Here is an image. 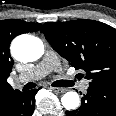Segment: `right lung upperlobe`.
Segmentation results:
<instances>
[{"mask_svg":"<svg viewBox=\"0 0 116 116\" xmlns=\"http://www.w3.org/2000/svg\"><path fill=\"white\" fill-rule=\"evenodd\" d=\"M40 27V23H28L18 19L0 21V107L16 91L7 82L14 64L9 52L10 43L17 35L38 31Z\"/></svg>","mask_w":116,"mask_h":116,"instance_id":"cb5924a9","label":"right lung upper lobe"}]
</instances>
